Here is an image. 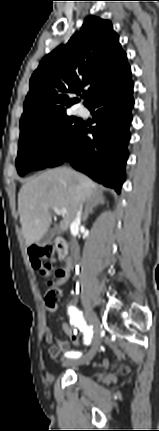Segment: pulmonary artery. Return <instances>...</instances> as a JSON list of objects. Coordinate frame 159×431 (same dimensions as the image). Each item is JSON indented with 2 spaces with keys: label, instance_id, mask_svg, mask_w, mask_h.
Returning a JSON list of instances; mask_svg holds the SVG:
<instances>
[{
  "label": "pulmonary artery",
  "instance_id": "obj_1",
  "mask_svg": "<svg viewBox=\"0 0 159 431\" xmlns=\"http://www.w3.org/2000/svg\"><path fill=\"white\" fill-rule=\"evenodd\" d=\"M86 110L84 109V108H79L78 109V113L80 114V115H84V114H86Z\"/></svg>",
  "mask_w": 159,
  "mask_h": 431
}]
</instances>
